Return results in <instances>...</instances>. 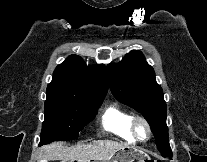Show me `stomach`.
<instances>
[{
    "mask_svg": "<svg viewBox=\"0 0 207 162\" xmlns=\"http://www.w3.org/2000/svg\"><path fill=\"white\" fill-rule=\"evenodd\" d=\"M135 160H150L143 152L134 149L132 147L126 146L119 151H117L110 162H134ZM109 162V161H105Z\"/></svg>",
    "mask_w": 207,
    "mask_h": 162,
    "instance_id": "obj_1",
    "label": "stomach"
}]
</instances>
